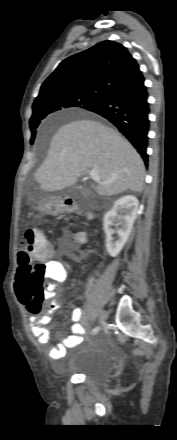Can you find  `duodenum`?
<instances>
[{
	"mask_svg": "<svg viewBox=\"0 0 177 440\" xmlns=\"http://www.w3.org/2000/svg\"><path fill=\"white\" fill-rule=\"evenodd\" d=\"M57 211L59 212H79V207L71 199H60L57 205Z\"/></svg>",
	"mask_w": 177,
	"mask_h": 440,
	"instance_id": "410a0bca",
	"label": "duodenum"
}]
</instances>
